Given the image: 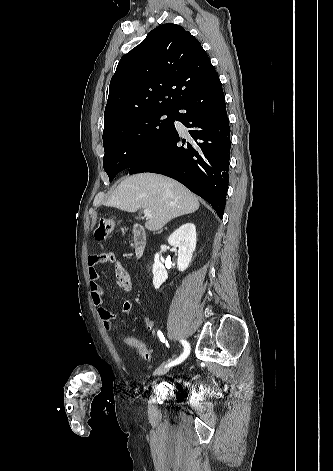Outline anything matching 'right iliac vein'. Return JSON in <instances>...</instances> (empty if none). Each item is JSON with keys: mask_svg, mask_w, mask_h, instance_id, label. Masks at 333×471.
Here are the masks:
<instances>
[{"mask_svg": "<svg viewBox=\"0 0 333 471\" xmlns=\"http://www.w3.org/2000/svg\"><path fill=\"white\" fill-rule=\"evenodd\" d=\"M170 369L169 366H162V367H159L155 372H154V376L155 377H159V376H162V375H165L168 370Z\"/></svg>", "mask_w": 333, "mask_h": 471, "instance_id": "1", "label": "right iliac vein"}]
</instances>
